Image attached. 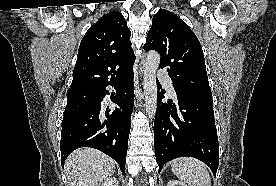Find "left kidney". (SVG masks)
<instances>
[{
	"label": "left kidney",
	"instance_id": "left-kidney-1",
	"mask_svg": "<svg viewBox=\"0 0 276 186\" xmlns=\"http://www.w3.org/2000/svg\"><path fill=\"white\" fill-rule=\"evenodd\" d=\"M167 186H187L185 183L181 182V181H173L170 180L167 184Z\"/></svg>",
	"mask_w": 276,
	"mask_h": 186
}]
</instances>
